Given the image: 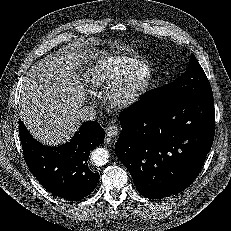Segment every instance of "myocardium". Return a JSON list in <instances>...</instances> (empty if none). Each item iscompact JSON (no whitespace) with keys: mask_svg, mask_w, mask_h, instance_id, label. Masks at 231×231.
Wrapping results in <instances>:
<instances>
[{"mask_svg":"<svg viewBox=\"0 0 231 231\" xmlns=\"http://www.w3.org/2000/svg\"><path fill=\"white\" fill-rule=\"evenodd\" d=\"M144 73V76H141ZM152 66L141 61L122 77L107 94V102L115 111L125 110L135 103L149 90L153 83Z\"/></svg>","mask_w":231,"mask_h":231,"instance_id":"f54148a6","label":"myocardium"}]
</instances>
